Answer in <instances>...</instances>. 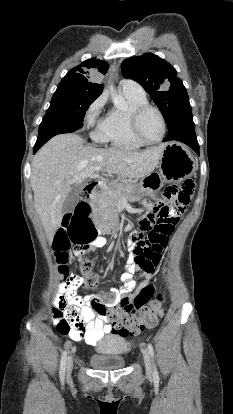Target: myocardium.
I'll return each mask as SVG.
<instances>
[{"label": "myocardium", "mask_w": 233, "mask_h": 414, "mask_svg": "<svg viewBox=\"0 0 233 414\" xmlns=\"http://www.w3.org/2000/svg\"><path fill=\"white\" fill-rule=\"evenodd\" d=\"M155 111L162 122V133L161 136L154 141H150L148 139H146L144 137V135L141 132L140 129V120L142 118V116L147 112V111ZM129 120H130V128L132 130V133L134 134V136L142 143H144L145 145H154V144H158L159 142H161L165 135H166V131H167V122H166V118L163 114V112L156 106L151 105V104H144L141 105L135 109H133L130 112V116H129Z\"/></svg>", "instance_id": "1"}]
</instances>
